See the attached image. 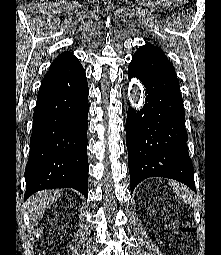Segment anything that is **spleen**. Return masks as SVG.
<instances>
[{
  "label": "spleen",
  "mask_w": 221,
  "mask_h": 255,
  "mask_svg": "<svg viewBox=\"0 0 221 255\" xmlns=\"http://www.w3.org/2000/svg\"><path fill=\"white\" fill-rule=\"evenodd\" d=\"M170 185L172 186L175 194L179 196V198L186 204H190L193 206L195 203V198L192 192L189 191V189L183 185H180L177 182H170Z\"/></svg>",
  "instance_id": "1"
}]
</instances>
